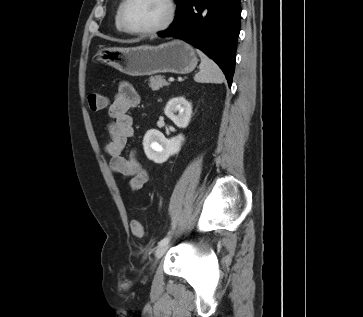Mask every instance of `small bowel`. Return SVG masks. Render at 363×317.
I'll list each match as a JSON object with an SVG mask.
<instances>
[{"label": "small bowel", "mask_w": 363, "mask_h": 317, "mask_svg": "<svg viewBox=\"0 0 363 317\" xmlns=\"http://www.w3.org/2000/svg\"><path fill=\"white\" fill-rule=\"evenodd\" d=\"M140 102L141 97L131 84L123 82L119 85L109 105L108 113L112 120L107 126L110 141L105 148L110 157L112 171L128 179L129 186L134 191L141 189L147 182L148 173L139 161L136 150H132L127 156L123 155V150L134 134L133 119L129 111Z\"/></svg>", "instance_id": "c3829d8e"}]
</instances>
